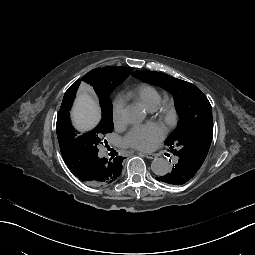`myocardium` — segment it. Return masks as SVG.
Masks as SVG:
<instances>
[{"mask_svg": "<svg viewBox=\"0 0 255 255\" xmlns=\"http://www.w3.org/2000/svg\"><path fill=\"white\" fill-rule=\"evenodd\" d=\"M160 114V124L165 131H168L172 124L173 108L170 102L161 101L156 109Z\"/></svg>", "mask_w": 255, "mask_h": 255, "instance_id": "obj_1", "label": "myocardium"}]
</instances>
